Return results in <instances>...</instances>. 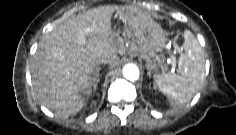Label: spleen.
Segmentation results:
<instances>
[{
    "instance_id": "1",
    "label": "spleen",
    "mask_w": 236,
    "mask_h": 135,
    "mask_svg": "<svg viewBox=\"0 0 236 135\" xmlns=\"http://www.w3.org/2000/svg\"><path fill=\"white\" fill-rule=\"evenodd\" d=\"M184 52L178 59V74L166 72L156 76L159 90L169 99L186 103L198 92L205 78V56L195 36L184 33Z\"/></svg>"
}]
</instances>
